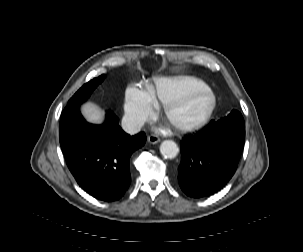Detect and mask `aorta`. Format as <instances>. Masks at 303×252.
I'll return each mask as SVG.
<instances>
[{"mask_svg": "<svg viewBox=\"0 0 303 252\" xmlns=\"http://www.w3.org/2000/svg\"><path fill=\"white\" fill-rule=\"evenodd\" d=\"M179 149L177 144L172 140H164L160 145V153L168 159L175 158Z\"/></svg>", "mask_w": 303, "mask_h": 252, "instance_id": "1", "label": "aorta"}]
</instances>
